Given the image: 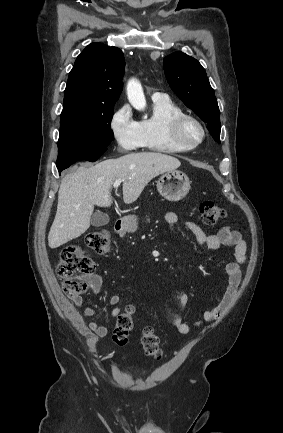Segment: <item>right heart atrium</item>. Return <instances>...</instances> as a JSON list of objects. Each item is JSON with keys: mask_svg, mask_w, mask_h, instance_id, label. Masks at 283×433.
I'll return each mask as SVG.
<instances>
[{"mask_svg": "<svg viewBox=\"0 0 283 433\" xmlns=\"http://www.w3.org/2000/svg\"><path fill=\"white\" fill-rule=\"evenodd\" d=\"M108 125L118 154H127L145 145L140 122L134 118L129 104L115 107Z\"/></svg>", "mask_w": 283, "mask_h": 433, "instance_id": "right-heart-atrium-1", "label": "right heart atrium"}]
</instances>
